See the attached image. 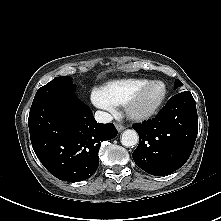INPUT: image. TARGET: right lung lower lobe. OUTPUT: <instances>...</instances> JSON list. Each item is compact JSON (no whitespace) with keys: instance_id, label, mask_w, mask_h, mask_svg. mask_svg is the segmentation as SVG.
Wrapping results in <instances>:
<instances>
[{"instance_id":"right-lung-lower-lobe-1","label":"right lung lower lobe","mask_w":221,"mask_h":221,"mask_svg":"<svg viewBox=\"0 0 221 221\" xmlns=\"http://www.w3.org/2000/svg\"><path fill=\"white\" fill-rule=\"evenodd\" d=\"M28 126L41 163L53 176L69 182L88 179L98 168L101 142L118 133L113 123H97L73 93L33 103Z\"/></svg>"}]
</instances>
